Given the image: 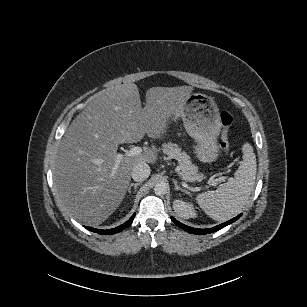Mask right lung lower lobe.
I'll use <instances>...</instances> for the list:
<instances>
[{
    "mask_svg": "<svg viewBox=\"0 0 307 307\" xmlns=\"http://www.w3.org/2000/svg\"><path fill=\"white\" fill-rule=\"evenodd\" d=\"M134 217H135V214H133V216L127 222H125L124 224H122V225H120L116 228L110 229V230H100V229H95V228H91V227H85V228H87L90 231L99 233V234H104V235L115 234V233L120 232V231L124 230L125 228H127L132 223Z\"/></svg>",
    "mask_w": 307,
    "mask_h": 307,
    "instance_id": "obj_1",
    "label": "right lung lower lobe"
}]
</instances>
